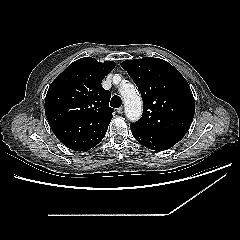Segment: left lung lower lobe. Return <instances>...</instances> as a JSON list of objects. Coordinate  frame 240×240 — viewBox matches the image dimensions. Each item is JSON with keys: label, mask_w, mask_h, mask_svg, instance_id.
I'll return each instance as SVG.
<instances>
[{"label": "left lung lower lobe", "mask_w": 240, "mask_h": 240, "mask_svg": "<svg viewBox=\"0 0 240 240\" xmlns=\"http://www.w3.org/2000/svg\"><path fill=\"white\" fill-rule=\"evenodd\" d=\"M133 137L143 146L152 150H167L179 142L185 134L181 133H146L132 127Z\"/></svg>", "instance_id": "left-lung-lower-lobe-1"}]
</instances>
